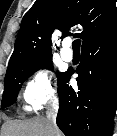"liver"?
I'll use <instances>...</instances> for the list:
<instances>
[{"label": "liver", "instance_id": "obj_1", "mask_svg": "<svg viewBox=\"0 0 117 136\" xmlns=\"http://www.w3.org/2000/svg\"><path fill=\"white\" fill-rule=\"evenodd\" d=\"M2 136H62V133L45 118L27 121H8L3 125Z\"/></svg>", "mask_w": 117, "mask_h": 136}]
</instances>
